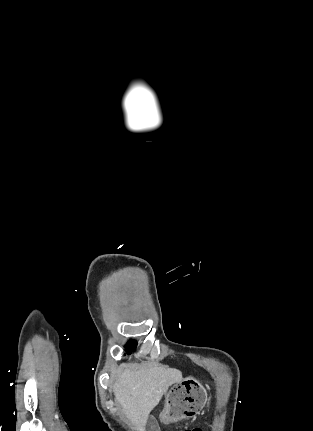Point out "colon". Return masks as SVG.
Masks as SVG:
<instances>
[{"label": "colon", "mask_w": 313, "mask_h": 431, "mask_svg": "<svg viewBox=\"0 0 313 431\" xmlns=\"http://www.w3.org/2000/svg\"><path fill=\"white\" fill-rule=\"evenodd\" d=\"M185 431H203L201 428H193V429H188Z\"/></svg>", "instance_id": "colon-1"}]
</instances>
